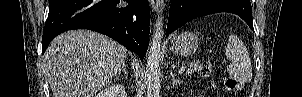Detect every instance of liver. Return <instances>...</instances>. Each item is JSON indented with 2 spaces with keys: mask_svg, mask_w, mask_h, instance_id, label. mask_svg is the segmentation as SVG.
Wrapping results in <instances>:
<instances>
[{
  "mask_svg": "<svg viewBox=\"0 0 302 97\" xmlns=\"http://www.w3.org/2000/svg\"><path fill=\"white\" fill-rule=\"evenodd\" d=\"M126 53L124 46L93 31L57 36L43 58L53 97H93L118 72Z\"/></svg>",
  "mask_w": 302,
  "mask_h": 97,
  "instance_id": "6515ba94",
  "label": "liver"
}]
</instances>
